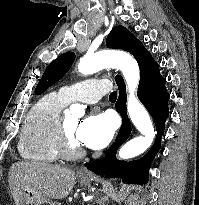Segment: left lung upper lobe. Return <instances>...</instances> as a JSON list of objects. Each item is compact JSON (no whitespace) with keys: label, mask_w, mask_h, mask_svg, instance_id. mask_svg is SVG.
<instances>
[{"label":"left lung upper lobe","mask_w":199,"mask_h":205,"mask_svg":"<svg viewBox=\"0 0 199 205\" xmlns=\"http://www.w3.org/2000/svg\"><path fill=\"white\" fill-rule=\"evenodd\" d=\"M134 38V35L131 34L128 29L123 26H117L108 34L106 45L108 48L127 50ZM74 59L75 54L73 52H67L52 61L47 66L42 78L37 84L35 94L40 95L51 85L60 80L69 71Z\"/></svg>","instance_id":"left-lung-upper-lobe-1"}]
</instances>
